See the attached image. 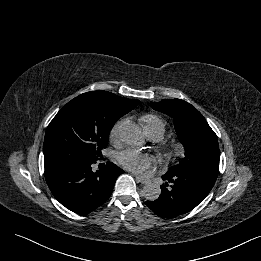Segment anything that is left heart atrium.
Returning <instances> with one entry per match:
<instances>
[{"label": "left heart atrium", "mask_w": 261, "mask_h": 261, "mask_svg": "<svg viewBox=\"0 0 261 261\" xmlns=\"http://www.w3.org/2000/svg\"><path fill=\"white\" fill-rule=\"evenodd\" d=\"M117 158L124 168L138 174L144 173L153 162V157L150 154L132 149L120 152Z\"/></svg>", "instance_id": "39dd6f15"}]
</instances>
